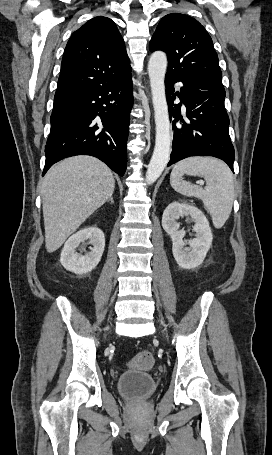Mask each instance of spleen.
Instances as JSON below:
<instances>
[{
    "mask_svg": "<svg viewBox=\"0 0 272 455\" xmlns=\"http://www.w3.org/2000/svg\"><path fill=\"white\" fill-rule=\"evenodd\" d=\"M204 177L206 189L183 180V175ZM172 188L187 197L202 200L216 228L229 218L234 200V181L229 167L211 157H189L178 162L170 175Z\"/></svg>",
    "mask_w": 272,
    "mask_h": 455,
    "instance_id": "obj_1",
    "label": "spleen"
}]
</instances>
